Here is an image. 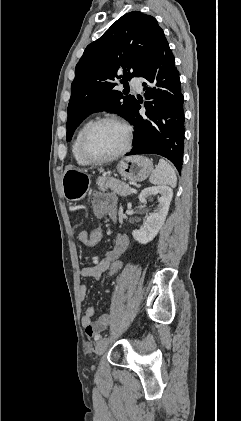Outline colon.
<instances>
[{
  "label": "colon",
  "mask_w": 241,
  "mask_h": 421,
  "mask_svg": "<svg viewBox=\"0 0 241 421\" xmlns=\"http://www.w3.org/2000/svg\"><path fill=\"white\" fill-rule=\"evenodd\" d=\"M103 237V230L100 225L94 226L90 231H88V236L85 241V245L89 248H94L98 246ZM124 267L123 261L117 259L113 261L105 272L106 277H113L119 275Z\"/></svg>",
  "instance_id": "obj_1"
}]
</instances>
